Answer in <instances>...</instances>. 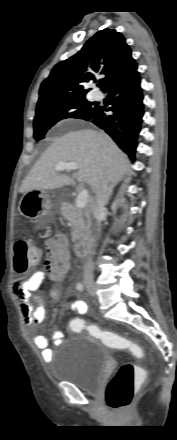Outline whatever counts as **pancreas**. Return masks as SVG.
Wrapping results in <instances>:
<instances>
[{
  "mask_svg": "<svg viewBox=\"0 0 177 440\" xmlns=\"http://www.w3.org/2000/svg\"><path fill=\"white\" fill-rule=\"evenodd\" d=\"M61 214L72 225L73 242L80 240L89 233L91 220L87 210L79 209L74 205L63 202Z\"/></svg>",
  "mask_w": 177,
  "mask_h": 440,
  "instance_id": "1",
  "label": "pancreas"
}]
</instances>
